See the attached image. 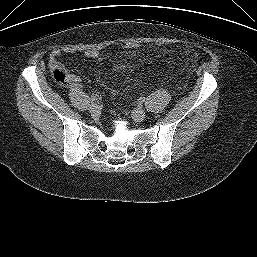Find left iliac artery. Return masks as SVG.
<instances>
[{"label":"left iliac artery","instance_id":"obj_1","mask_svg":"<svg viewBox=\"0 0 257 257\" xmlns=\"http://www.w3.org/2000/svg\"><path fill=\"white\" fill-rule=\"evenodd\" d=\"M140 102H144L145 101V97H140Z\"/></svg>","mask_w":257,"mask_h":257}]
</instances>
